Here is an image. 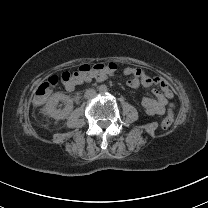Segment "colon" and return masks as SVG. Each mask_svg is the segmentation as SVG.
<instances>
[{"label":"colon","mask_w":208,"mask_h":208,"mask_svg":"<svg viewBox=\"0 0 208 208\" xmlns=\"http://www.w3.org/2000/svg\"><path fill=\"white\" fill-rule=\"evenodd\" d=\"M116 69V64L113 63H83L75 71L65 70L61 74H54L49 79L42 82L36 95L35 101L39 105H44L48 102L49 96L55 86L63 83L68 89H73L80 79L96 78L106 75L108 70ZM175 122L174 110L170 108L161 121V131L166 132Z\"/></svg>","instance_id":"5ec220e1"}]
</instances>
